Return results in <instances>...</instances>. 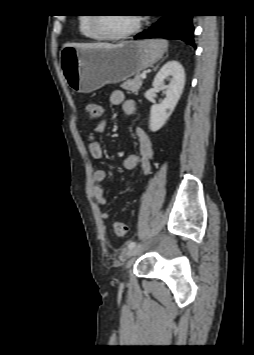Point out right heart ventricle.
Returning a JSON list of instances; mask_svg holds the SVG:
<instances>
[{
  "label": "right heart ventricle",
  "instance_id": "e07e8e85",
  "mask_svg": "<svg viewBox=\"0 0 254 355\" xmlns=\"http://www.w3.org/2000/svg\"><path fill=\"white\" fill-rule=\"evenodd\" d=\"M92 18V16H81L79 18V30L86 39L100 40V37L94 32L92 28Z\"/></svg>",
  "mask_w": 254,
  "mask_h": 355
}]
</instances>
